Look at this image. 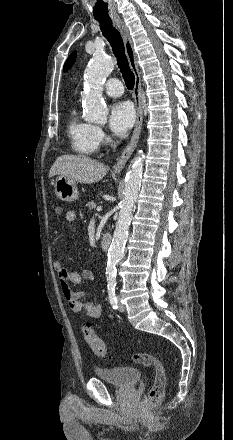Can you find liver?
Masks as SVG:
<instances>
[{
	"mask_svg": "<svg viewBox=\"0 0 233 440\" xmlns=\"http://www.w3.org/2000/svg\"><path fill=\"white\" fill-rule=\"evenodd\" d=\"M108 172V166L84 155H63L52 165L49 177L61 175L82 184L100 181Z\"/></svg>",
	"mask_w": 233,
	"mask_h": 440,
	"instance_id": "liver-1",
	"label": "liver"
}]
</instances>
